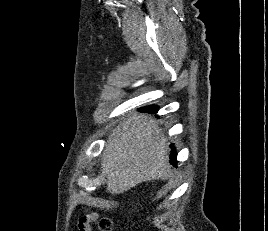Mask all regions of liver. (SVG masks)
Masks as SVG:
<instances>
[{
  "instance_id": "1",
  "label": "liver",
  "mask_w": 268,
  "mask_h": 231,
  "mask_svg": "<svg viewBox=\"0 0 268 231\" xmlns=\"http://www.w3.org/2000/svg\"><path fill=\"white\" fill-rule=\"evenodd\" d=\"M167 153L157 121L143 114L128 117L109 135L102 155L107 192L120 194L145 181L169 178Z\"/></svg>"
}]
</instances>
